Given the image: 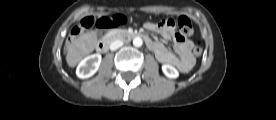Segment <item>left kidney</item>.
Instances as JSON below:
<instances>
[{
    "instance_id": "1",
    "label": "left kidney",
    "mask_w": 276,
    "mask_h": 120,
    "mask_svg": "<svg viewBox=\"0 0 276 120\" xmlns=\"http://www.w3.org/2000/svg\"><path fill=\"white\" fill-rule=\"evenodd\" d=\"M162 71L168 78H177L179 75L176 68L169 64L162 65Z\"/></svg>"
}]
</instances>
